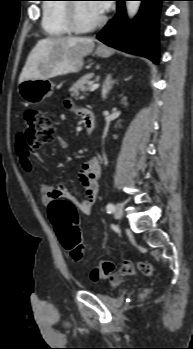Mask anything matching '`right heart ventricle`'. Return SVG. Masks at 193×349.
Returning <instances> with one entry per match:
<instances>
[{
    "label": "right heart ventricle",
    "instance_id": "obj_1",
    "mask_svg": "<svg viewBox=\"0 0 193 349\" xmlns=\"http://www.w3.org/2000/svg\"><path fill=\"white\" fill-rule=\"evenodd\" d=\"M56 1L65 0H47L42 9L41 25L46 36L50 38H61L71 33L65 20L67 4L52 3Z\"/></svg>",
    "mask_w": 193,
    "mask_h": 349
}]
</instances>
